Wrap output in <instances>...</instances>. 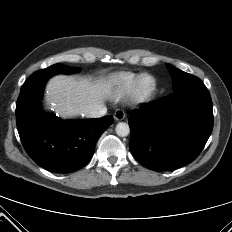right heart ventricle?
Here are the masks:
<instances>
[{"label":"right heart ventricle","instance_id":"right-heart-ventricle-1","mask_svg":"<svg viewBox=\"0 0 232 232\" xmlns=\"http://www.w3.org/2000/svg\"><path fill=\"white\" fill-rule=\"evenodd\" d=\"M140 76L141 75L130 72L112 74L107 80V89L109 94L115 99H120L126 96L132 91L135 82Z\"/></svg>","mask_w":232,"mask_h":232}]
</instances>
